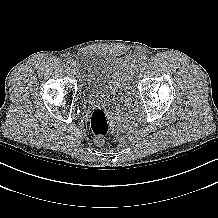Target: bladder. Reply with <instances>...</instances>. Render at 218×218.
Instances as JSON below:
<instances>
[{"mask_svg": "<svg viewBox=\"0 0 218 218\" xmlns=\"http://www.w3.org/2000/svg\"><path fill=\"white\" fill-rule=\"evenodd\" d=\"M79 96L83 104L106 102L120 94L132 79L134 59L83 52L78 59Z\"/></svg>", "mask_w": 218, "mask_h": 218, "instance_id": "obj_1", "label": "bladder"}]
</instances>
